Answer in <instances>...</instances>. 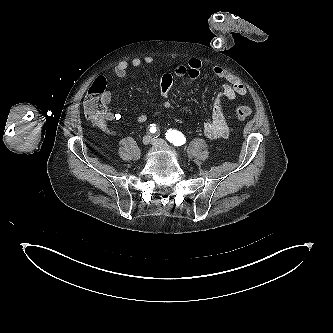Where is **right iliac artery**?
<instances>
[{
    "label": "right iliac artery",
    "mask_w": 333,
    "mask_h": 333,
    "mask_svg": "<svg viewBox=\"0 0 333 333\" xmlns=\"http://www.w3.org/2000/svg\"><path fill=\"white\" fill-rule=\"evenodd\" d=\"M150 133H156L157 128L155 125H151L150 129H149Z\"/></svg>",
    "instance_id": "right-iliac-artery-1"
}]
</instances>
